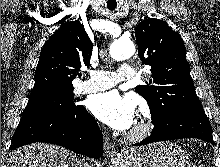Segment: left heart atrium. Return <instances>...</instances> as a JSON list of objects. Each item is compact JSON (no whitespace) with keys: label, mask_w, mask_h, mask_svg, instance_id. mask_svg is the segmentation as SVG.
Wrapping results in <instances>:
<instances>
[{"label":"left heart atrium","mask_w":220,"mask_h":167,"mask_svg":"<svg viewBox=\"0 0 220 167\" xmlns=\"http://www.w3.org/2000/svg\"><path fill=\"white\" fill-rule=\"evenodd\" d=\"M92 114L109 127L128 130L136 122L137 103L129 95L108 91L95 95L89 103Z\"/></svg>","instance_id":"left-heart-atrium-1"}]
</instances>
